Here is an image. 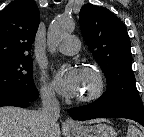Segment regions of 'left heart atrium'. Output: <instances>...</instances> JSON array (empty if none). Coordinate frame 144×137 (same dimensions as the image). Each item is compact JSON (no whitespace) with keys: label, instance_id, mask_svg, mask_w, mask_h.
Returning a JSON list of instances; mask_svg holds the SVG:
<instances>
[{"label":"left heart atrium","instance_id":"left-heart-atrium-1","mask_svg":"<svg viewBox=\"0 0 144 137\" xmlns=\"http://www.w3.org/2000/svg\"><path fill=\"white\" fill-rule=\"evenodd\" d=\"M55 83L61 95L73 98L79 94L81 89V73L71 66L61 68L56 73Z\"/></svg>","mask_w":144,"mask_h":137}]
</instances>
